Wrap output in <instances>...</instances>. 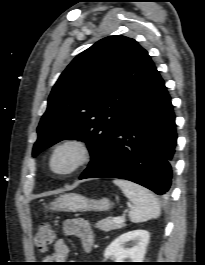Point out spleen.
<instances>
[{"instance_id": "3e777b00", "label": "spleen", "mask_w": 205, "mask_h": 265, "mask_svg": "<svg viewBox=\"0 0 205 265\" xmlns=\"http://www.w3.org/2000/svg\"><path fill=\"white\" fill-rule=\"evenodd\" d=\"M113 182L133 203V208L129 213L133 223L145 222L160 216L161 209L158 200L148 189L127 180L115 179Z\"/></svg>"}]
</instances>
